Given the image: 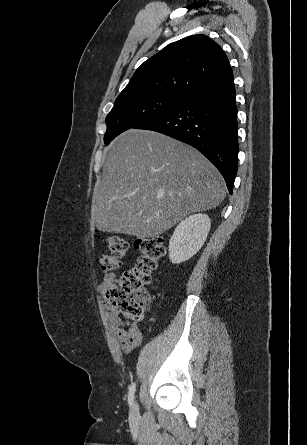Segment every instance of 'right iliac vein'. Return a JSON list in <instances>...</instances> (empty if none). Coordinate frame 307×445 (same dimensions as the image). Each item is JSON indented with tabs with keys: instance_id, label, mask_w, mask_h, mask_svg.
<instances>
[{
	"instance_id": "right-iliac-vein-1",
	"label": "right iliac vein",
	"mask_w": 307,
	"mask_h": 445,
	"mask_svg": "<svg viewBox=\"0 0 307 445\" xmlns=\"http://www.w3.org/2000/svg\"><path fill=\"white\" fill-rule=\"evenodd\" d=\"M130 418L132 421H134L138 418V405L136 402L132 405L131 412H130Z\"/></svg>"
}]
</instances>
